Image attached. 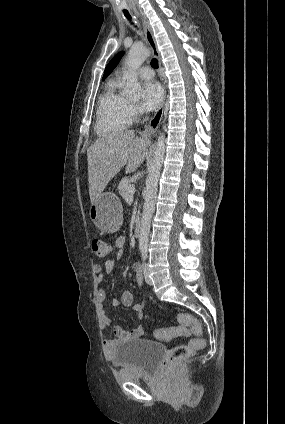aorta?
Masks as SVG:
<instances>
[{
    "instance_id": "762f6f07",
    "label": "aorta",
    "mask_w": 285,
    "mask_h": 424,
    "mask_svg": "<svg viewBox=\"0 0 285 424\" xmlns=\"http://www.w3.org/2000/svg\"><path fill=\"white\" fill-rule=\"evenodd\" d=\"M150 50L146 47H132L125 61L128 67L126 75V86L124 93L127 96H135L140 90L137 69L149 57ZM165 154V135L160 133L154 148V156L148 169L146 178V195L143 206V213L139 234L140 248H146L153 212L155 210V200L157 196L158 181Z\"/></svg>"
}]
</instances>
